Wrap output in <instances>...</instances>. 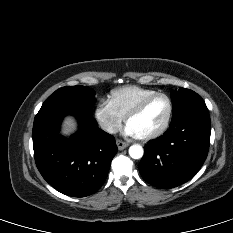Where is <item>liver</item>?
Segmentation results:
<instances>
[{
    "mask_svg": "<svg viewBox=\"0 0 233 233\" xmlns=\"http://www.w3.org/2000/svg\"><path fill=\"white\" fill-rule=\"evenodd\" d=\"M77 130V122L73 116H65L62 122L61 133L65 136H69Z\"/></svg>",
    "mask_w": 233,
    "mask_h": 233,
    "instance_id": "1",
    "label": "liver"
}]
</instances>
